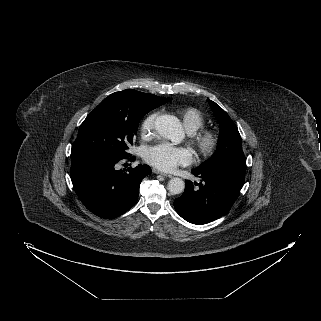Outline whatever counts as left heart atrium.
<instances>
[{
	"instance_id": "obj_1",
	"label": "left heart atrium",
	"mask_w": 321,
	"mask_h": 321,
	"mask_svg": "<svg viewBox=\"0 0 321 321\" xmlns=\"http://www.w3.org/2000/svg\"><path fill=\"white\" fill-rule=\"evenodd\" d=\"M144 158L149 164L163 171H171L179 165H188L192 161L189 150L168 143L147 148Z\"/></svg>"
}]
</instances>
